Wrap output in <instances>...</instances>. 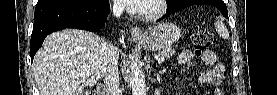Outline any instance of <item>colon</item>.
Wrapping results in <instances>:
<instances>
[{
	"mask_svg": "<svg viewBox=\"0 0 277 95\" xmlns=\"http://www.w3.org/2000/svg\"><path fill=\"white\" fill-rule=\"evenodd\" d=\"M190 38L193 48L197 54L207 51L216 41L214 35L205 27L197 26L190 30ZM85 95H94L93 91H86Z\"/></svg>",
	"mask_w": 277,
	"mask_h": 95,
	"instance_id": "colon-1",
	"label": "colon"
}]
</instances>
